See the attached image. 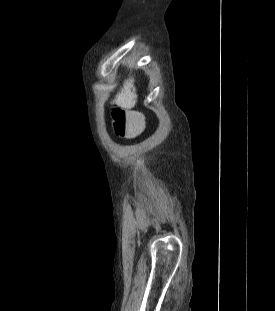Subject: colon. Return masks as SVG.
I'll return each instance as SVG.
<instances>
[{"instance_id": "1", "label": "colon", "mask_w": 275, "mask_h": 311, "mask_svg": "<svg viewBox=\"0 0 275 311\" xmlns=\"http://www.w3.org/2000/svg\"><path fill=\"white\" fill-rule=\"evenodd\" d=\"M113 129L118 137H130L139 133L143 127V117L140 114L114 110Z\"/></svg>"}]
</instances>
